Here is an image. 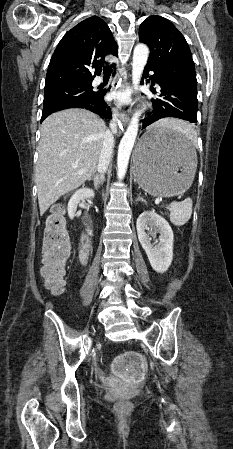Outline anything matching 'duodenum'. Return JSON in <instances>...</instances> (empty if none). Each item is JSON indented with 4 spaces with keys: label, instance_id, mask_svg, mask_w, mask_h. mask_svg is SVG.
Instances as JSON below:
<instances>
[{
    "label": "duodenum",
    "instance_id": "obj_1",
    "mask_svg": "<svg viewBox=\"0 0 233 449\" xmlns=\"http://www.w3.org/2000/svg\"><path fill=\"white\" fill-rule=\"evenodd\" d=\"M91 251V242L89 237L85 235L81 241L80 258L83 264H86Z\"/></svg>",
    "mask_w": 233,
    "mask_h": 449
}]
</instances>
